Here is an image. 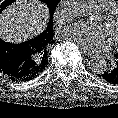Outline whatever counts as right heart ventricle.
<instances>
[{
	"instance_id": "e07e8e85",
	"label": "right heart ventricle",
	"mask_w": 118,
	"mask_h": 118,
	"mask_svg": "<svg viewBox=\"0 0 118 118\" xmlns=\"http://www.w3.org/2000/svg\"><path fill=\"white\" fill-rule=\"evenodd\" d=\"M94 8L99 12H105L111 7L118 4V0H91Z\"/></svg>"
}]
</instances>
